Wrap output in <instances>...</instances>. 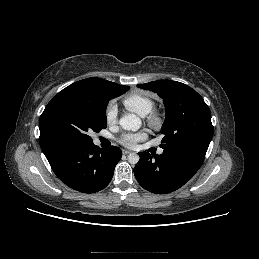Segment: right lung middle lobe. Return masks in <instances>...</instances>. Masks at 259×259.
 I'll return each mask as SVG.
<instances>
[{
    "label": "right lung middle lobe",
    "instance_id": "1",
    "mask_svg": "<svg viewBox=\"0 0 259 259\" xmlns=\"http://www.w3.org/2000/svg\"><path fill=\"white\" fill-rule=\"evenodd\" d=\"M128 88L108 90L100 101H90L71 93L56 94L40 117V146L44 153L64 144H91L89 134L107 127L106 107L110 99Z\"/></svg>",
    "mask_w": 259,
    "mask_h": 259
}]
</instances>
